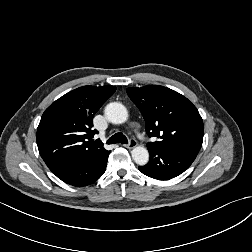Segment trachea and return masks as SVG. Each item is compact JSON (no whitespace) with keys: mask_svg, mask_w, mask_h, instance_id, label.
<instances>
[{"mask_svg":"<svg viewBox=\"0 0 252 252\" xmlns=\"http://www.w3.org/2000/svg\"><path fill=\"white\" fill-rule=\"evenodd\" d=\"M116 143L127 144L128 140L125 135L118 132V133L114 134L112 137H110L107 141V144H116Z\"/></svg>","mask_w":252,"mask_h":252,"instance_id":"1","label":"trachea"}]
</instances>
